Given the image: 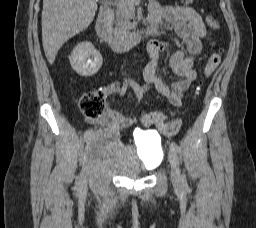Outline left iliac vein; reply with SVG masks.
I'll return each instance as SVG.
<instances>
[{"label":"left iliac vein","instance_id":"1","mask_svg":"<svg viewBox=\"0 0 256 228\" xmlns=\"http://www.w3.org/2000/svg\"><path fill=\"white\" fill-rule=\"evenodd\" d=\"M168 160L171 165V180L174 186L181 185V174L179 169V161L176 151H174L171 147L168 152Z\"/></svg>","mask_w":256,"mask_h":228}]
</instances>
